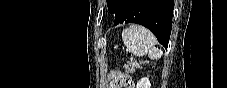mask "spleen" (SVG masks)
<instances>
[{
    "instance_id": "obj_1",
    "label": "spleen",
    "mask_w": 227,
    "mask_h": 88,
    "mask_svg": "<svg viewBox=\"0 0 227 88\" xmlns=\"http://www.w3.org/2000/svg\"><path fill=\"white\" fill-rule=\"evenodd\" d=\"M122 39L127 50L138 57L148 54L150 59H160L161 49L156 48L154 35L141 25L132 24L122 31Z\"/></svg>"
}]
</instances>
